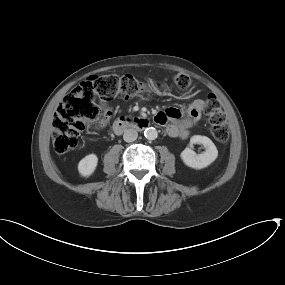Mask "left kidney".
<instances>
[{
  "instance_id": "1",
  "label": "left kidney",
  "mask_w": 285,
  "mask_h": 285,
  "mask_svg": "<svg viewBox=\"0 0 285 285\" xmlns=\"http://www.w3.org/2000/svg\"><path fill=\"white\" fill-rule=\"evenodd\" d=\"M193 144H202L205 151L196 154L191 147ZM190 147L185 148L181 152V159L185 165L194 169H202L214 162L218 156V150L212 140L206 136L194 135L190 138Z\"/></svg>"
}]
</instances>
